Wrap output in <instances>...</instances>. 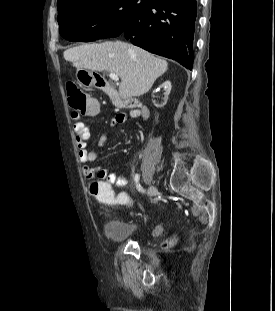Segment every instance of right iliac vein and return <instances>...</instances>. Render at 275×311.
<instances>
[{"instance_id": "obj_1", "label": "right iliac vein", "mask_w": 275, "mask_h": 311, "mask_svg": "<svg viewBox=\"0 0 275 311\" xmlns=\"http://www.w3.org/2000/svg\"><path fill=\"white\" fill-rule=\"evenodd\" d=\"M156 193H157L156 187L153 186V185L150 186V188H149V195H150V196H154Z\"/></svg>"}]
</instances>
